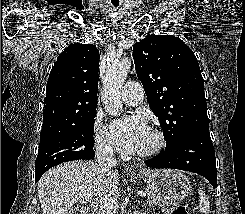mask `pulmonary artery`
<instances>
[{"mask_svg":"<svg viewBox=\"0 0 245 214\" xmlns=\"http://www.w3.org/2000/svg\"><path fill=\"white\" fill-rule=\"evenodd\" d=\"M143 98V87L137 81L127 82L121 90V99L128 105L136 106L142 102Z\"/></svg>","mask_w":245,"mask_h":214,"instance_id":"1","label":"pulmonary artery"}]
</instances>
